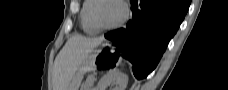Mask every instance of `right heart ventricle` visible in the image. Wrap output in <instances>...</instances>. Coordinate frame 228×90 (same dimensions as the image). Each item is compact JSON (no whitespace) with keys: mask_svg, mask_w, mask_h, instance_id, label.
<instances>
[{"mask_svg":"<svg viewBox=\"0 0 228 90\" xmlns=\"http://www.w3.org/2000/svg\"><path fill=\"white\" fill-rule=\"evenodd\" d=\"M95 0H85L80 9V23L86 34H95L98 30L92 25L90 20V10Z\"/></svg>","mask_w":228,"mask_h":90,"instance_id":"right-heart-ventricle-1","label":"right heart ventricle"}]
</instances>
